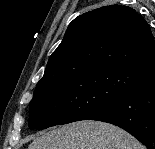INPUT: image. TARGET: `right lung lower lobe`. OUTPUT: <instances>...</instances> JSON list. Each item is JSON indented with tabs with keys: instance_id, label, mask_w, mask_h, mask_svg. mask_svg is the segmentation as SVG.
Returning a JSON list of instances; mask_svg holds the SVG:
<instances>
[{
	"instance_id": "1",
	"label": "right lung lower lobe",
	"mask_w": 155,
	"mask_h": 149,
	"mask_svg": "<svg viewBox=\"0 0 155 149\" xmlns=\"http://www.w3.org/2000/svg\"><path fill=\"white\" fill-rule=\"evenodd\" d=\"M90 120L119 126L148 149H155V75L146 77Z\"/></svg>"
}]
</instances>
